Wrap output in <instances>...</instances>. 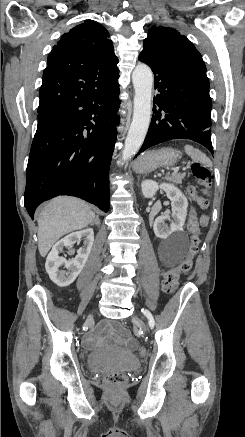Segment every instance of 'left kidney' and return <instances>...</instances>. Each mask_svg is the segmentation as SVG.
<instances>
[{
  "instance_id": "1",
  "label": "left kidney",
  "mask_w": 245,
  "mask_h": 437,
  "mask_svg": "<svg viewBox=\"0 0 245 437\" xmlns=\"http://www.w3.org/2000/svg\"><path fill=\"white\" fill-rule=\"evenodd\" d=\"M141 189L145 198H153L157 190L162 189L171 201V215L163 214L155 219L153 225L155 235L161 239H167L173 234L180 236L183 233L188 208V200L184 194L171 184L162 183L159 185L153 180H144ZM168 220L171 221L170 225L167 224Z\"/></svg>"
}]
</instances>
